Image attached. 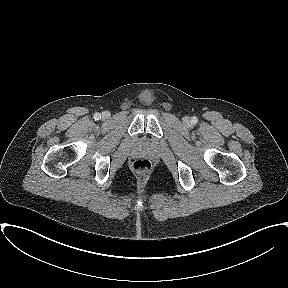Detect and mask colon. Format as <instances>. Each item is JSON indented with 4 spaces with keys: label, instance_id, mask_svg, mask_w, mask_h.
<instances>
[{
    "label": "colon",
    "instance_id": "1",
    "mask_svg": "<svg viewBox=\"0 0 288 288\" xmlns=\"http://www.w3.org/2000/svg\"><path fill=\"white\" fill-rule=\"evenodd\" d=\"M133 169L139 174H145L151 169V163L146 159H138L133 163Z\"/></svg>",
    "mask_w": 288,
    "mask_h": 288
}]
</instances>
